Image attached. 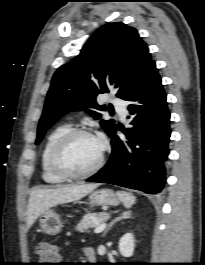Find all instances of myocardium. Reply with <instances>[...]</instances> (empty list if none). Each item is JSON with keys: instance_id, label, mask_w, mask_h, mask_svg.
I'll return each instance as SVG.
<instances>
[{"instance_id": "obj_1", "label": "myocardium", "mask_w": 205, "mask_h": 265, "mask_svg": "<svg viewBox=\"0 0 205 265\" xmlns=\"http://www.w3.org/2000/svg\"><path fill=\"white\" fill-rule=\"evenodd\" d=\"M78 136H88L96 138V136L89 130L83 128H73L67 131L64 135H62L57 142L54 144L50 155H49V166L54 174L59 176L64 180H83L87 179L93 175H95L104 164V151L101 149V153L96 164L90 168L89 170L83 173H72L66 170L60 163V157L66 146L72 141L74 138Z\"/></svg>"}]
</instances>
